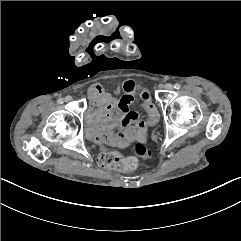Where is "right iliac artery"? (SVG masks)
<instances>
[{
	"label": "right iliac artery",
	"mask_w": 241,
	"mask_h": 241,
	"mask_svg": "<svg viewBox=\"0 0 241 241\" xmlns=\"http://www.w3.org/2000/svg\"><path fill=\"white\" fill-rule=\"evenodd\" d=\"M57 102H58L59 104H62V103H63V99H62V98H59V99L57 100Z\"/></svg>",
	"instance_id": "obj_1"
}]
</instances>
